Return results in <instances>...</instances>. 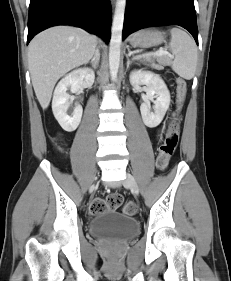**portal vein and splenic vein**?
Wrapping results in <instances>:
<instances>
[{"mask_svg": "<svg viewBox=\"0 0 231 281\" xmlns=\"http://www.w3.org/2000/svg\"><path fill=\"white\" fill-rule=\"evenodd\" d=\"M150 55L161 56V55H170V53L166 50L160 49L156 52H152L149 54L137 55V56L133 57V60L141 59L143 57L150 56Z\"/></svg>", "mask_w": 231, "mask_h": 281, "instance_id": "18ae733b", "label": "portal vein and splenic vein"}]
</instances>
